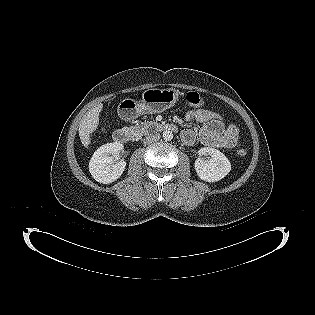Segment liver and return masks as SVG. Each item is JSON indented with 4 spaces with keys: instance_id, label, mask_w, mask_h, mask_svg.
Here are the masks:
<instances>
[{
    "instance_id": "obj_1",
    "label": "liver",
    "mask_w": 315,
    "mask_h": 315,
    "mask_svg": "<svg viewBox=\"0 0 315 315\" xmlns=\"http://www.w3.org/2000/svg\"><path fill=\"white\" fill-rule=\"evenodd\" d=\"M103 105L100 103L90 109L82 118L79 125V136L85 148H88L91 139L90 135L97 129L99 124V114L102 111Z\"/></svg>"
}]
</instances>
